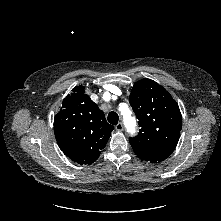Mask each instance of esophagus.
<instances>
[{"label":"esophagus","mask_w":221,"mask_h":221,"mask_svg":"<svg viewBox=\"0 0 221 221\" xmlns=\"http://www.w3.org/2000/svg\"><path fill=\"white\" fill-rule=\"evenodd\" d=\"M124 128L123 124L121 122H119L116 126H115V129L117 131H122Z\"/></svg>","instance_id":"esophagus-1"}]
</instances>
